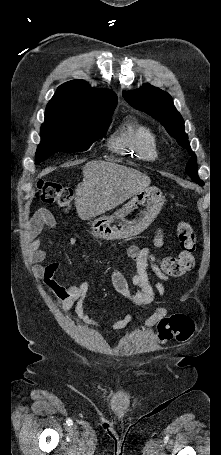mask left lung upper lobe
Wrapping results in <instances>:
<instances>
[{"label":"left lung upper lobe","instance_id":"left-lung-upper-lobe-1","mask_svg":"<svg viewBox=\"0 0 221 455\" xmlns=\"http://www.w3.org/2000/svg\"><path fill=\"white\" fill-rule=\"evenodd\" d=\"M123 97L134 108L148 113L161 122L178 144L187 149L191 158L185 170L192 180L203 185L198 177L196 155L192 152L188 143V136L184 131V121L174 107L171 96L157 87L145 84L138 90L124 91Z\"/></svg>","mask_w":221,"mask_h":455}]
</instances>
